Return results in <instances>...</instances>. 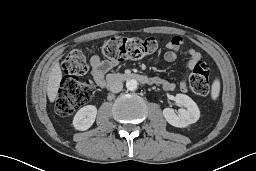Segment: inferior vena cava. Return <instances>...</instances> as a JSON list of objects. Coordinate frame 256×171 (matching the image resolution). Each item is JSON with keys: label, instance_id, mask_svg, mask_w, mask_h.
<instances>
[{"label": "inferior vena cava", "instance_id": "inferior-vena-cava-1", "mask_svg": "<svg viewBox=\"0 0 256 171\" xmlns=\"http://www.w3.org/2000/svg\"><path fill=\"white\" fill-rule=\"evenodd\" d=\"M123 89V83L121 81H113L109 84V90L113 93H119Z\"/></svg>", "mask_w": 256, "mask_h": 171}]
</instances>
